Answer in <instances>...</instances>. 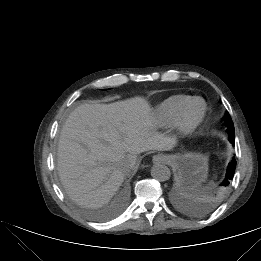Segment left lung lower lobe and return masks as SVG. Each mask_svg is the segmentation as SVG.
<instances>
[{
    "label": "left lung lower lobe",
    "mask_w": 261,
    "mask_h": 261,
    "mask_svg": "<svg viewBox=\"0 0 261 261\" xmlns=\"http://www.w3.org/2000/svg\"><path fill=\"white\" fill-rule=\"evenodd\" d=\"M229 141L231 142L232 145H235L233 138H230ZM235 168H236V160L235 158H233L228 165L226 176H225L229 182L232 180L234 176Z\"/></svg>",
    "instance_id": "0a47b994"
}]
</instances>
